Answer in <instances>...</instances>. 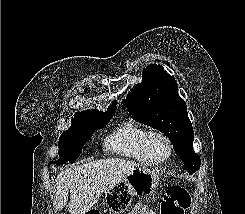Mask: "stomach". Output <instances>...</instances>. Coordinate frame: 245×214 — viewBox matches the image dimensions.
<instances>
[{
    "instance_id": "1",
    "label": "stomach",
    "mask_w": 245,
    "mask_h": 214,
    "mask_svg": "<svg viewBox=\"0 0 245 214\" xmlns=\"http://www.w3.org/2000/svg\"><path fill=\"white\" fill-rule=\"evenodd\" d=\"M159 182L158 172L138 167L105 192L106 206L114 214H121L131 204L133 196L154 192ZM86 213L88 214L89 211Z\"/></svg>"
}]
</instances>
